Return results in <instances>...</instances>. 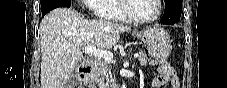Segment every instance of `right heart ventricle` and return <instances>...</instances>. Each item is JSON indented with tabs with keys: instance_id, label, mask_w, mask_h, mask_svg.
Instances as JSON below:
<instances>
[{
	"instance_id": "right-heart-ventricle-1",
	"label": "right heart ventricle",
	"mask_w": 227,
	"mask_h": 88,
	"mask_svg": "<svg viewBox=\"0 0 227 88\" xmlns=\"http://www.w3.org/2000/svg\"><path fill=\"white\" fill-rule=\"evenodd\" d=\"M122 0H92L91 8L100 19H112L125 22L126 17L120 10Z\"/></svg>"
}]
</instances>
